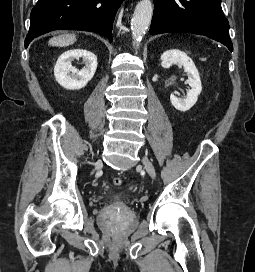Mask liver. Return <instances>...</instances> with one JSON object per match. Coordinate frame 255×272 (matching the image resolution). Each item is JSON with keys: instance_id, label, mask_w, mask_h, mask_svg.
Segmentation results:
<instances>
[{"instance_id": "1", "label": "liver", "mask_w": 255, "mask_h": 272, "mask_svg": "<svg viewBox=\"0 0 255 272\" xmlns=\"http://www.w3.org/2000/svg\"><path fill=\"white\" fill-rule=\"evenodd\" d=\"M76 41L75 34H64L53 37L49 40V44L52 46H67L71 45Z\"/></svg>"}]
</instances>
